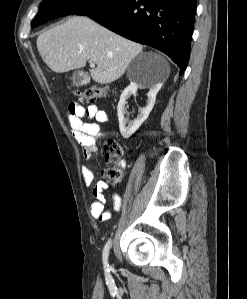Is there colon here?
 <instances>
[{
  "mask_svg": "<svg viewBox=\"0 0 247 299\" xmlns=\"http://www.w3.org/2000/svg\"><path fill=\"white\" fill-rule=\"evenodd\" d=\"M75 96H77L81 100L94 101L100 98H104L107 95V89L101 85H91L84 89H75ZM106 150V161L109 164H113L116 162L118 156L121 154L122 149L120 145L109 139L105 144ZM105 175L108 178L117 179L121 176V171L114 166H110L105 170Z\"/></svg>",
  "mask_w": 247,
  "mask_h": 299,
  "instance_id": "1",
  "label": "colon"
}]
</instances>
